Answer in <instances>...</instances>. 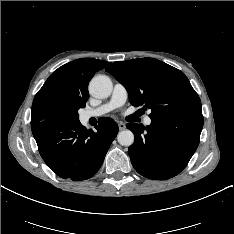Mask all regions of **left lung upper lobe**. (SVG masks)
<instances>
[{"mask_svg": "<svg viewBox=\"0 0 234 234\" xmlns=\"http://www.w3.org/2000/svg\"><path fill=\"white\" fill-rule=\"evenodd\" d=\"M129 94L133 106L151 109V120L202 113L201 101L180 70L153 58L114 62L106 68Z\"/></svg>", "mask_w": 234, "mask_h": 234, "instance_id": "5c2ea615", "label": "left lung upper lobe"}]
</instances>
